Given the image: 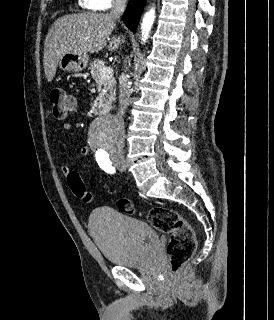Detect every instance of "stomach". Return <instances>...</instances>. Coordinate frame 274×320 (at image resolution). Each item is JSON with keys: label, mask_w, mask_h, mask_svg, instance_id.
Segmentation results:
<instances>
[{"label": "stomach", "mask_w": 274, "mask_h": 320, "mask_svg": "<svg viewBox=\"0 0 274 320\" xmlns=\"http://www.w3.org/2000/svg\"><path fill=\"white\" fill-rule=\"evenodd\" d=\"M88 60V54H75L73 52V54L62 56L60 62H58V66L63 72H74V74H77V72H82V70L87 68Z\"/></svg>", "instance_id": "0dacf381"}]
</instances>
